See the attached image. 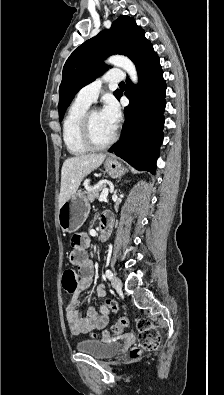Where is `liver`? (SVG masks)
<instances>
[{
    "label": "liver",
    "instance_id": "1",
    "mask_svg": "<svg viewBox=\"0 0 224 395\" xmlns=\"http://www.w3.org/2000/svg\"><path fill=\"white\" fill-rule=\"evenodd\" d=\"M105 158V154L93 153L70 157L64 161L61 170L59 208L77 192L84 177L97 169Z\"/></svg>",
    "mask_w": 224,
    "mask_h": 395
}]
</instances>
